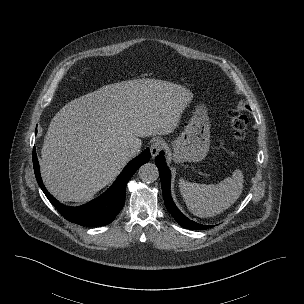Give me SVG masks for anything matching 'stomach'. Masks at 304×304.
<instances>
[{"instance_id":"0dacf381","label":"stomach","mask_w":304,"mask_h":304,"mask_svg":"<svg viewBox=\"0 0 304 304\" xmlns=\"http://www.w3.org/2000/svg\"><path fill=\"white\" fill-rule=\"evenodd\" d=\"M210 120L204 104L196 106L193 116L179 137L173 141L175 162L203 160L210 148Z\"/></svg>"}]
</instances>
